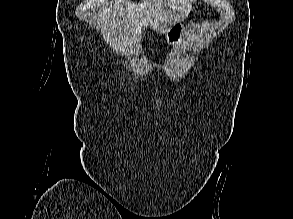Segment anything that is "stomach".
I'll return each instance as SVG.
<instances>
[{
    "label": "stomach",
    "mask_w": 293,
    "mask_h": 219,
    "mask_svg": "<svg viewBox=\"0 0 293 219\" xmlns=\"http://www.w3.org/2000/svg\"><path fill=\"white\" fill-rule=\"evenodd\" d=\"M191 24L195 25V20L191 21ZM186 35L187 31L184 25L177 21L166 32V40L169 45L180 46L185 44Z\"/></svg>",
    "instance_id": "0dacf381"
}]
</instances>
